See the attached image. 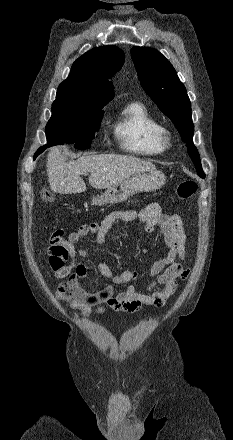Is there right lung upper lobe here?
<instances>
[{"label":"right lung upper lobe","instance_id":"cb5924a9","mask_svg":"<svg viewBox=\"0 0 233 440\" xmlns=\"http://www.w3.org/2000/svg\"><path fill=\"white\" fill-rule=\"evenodd\" d=\"M124 59V52L113 45L86 52L59 85L54 103L106 105L114 97L109 79L120 70Z\"/></svg>","mask_w":233,"mask_h":440}]
</instances>
